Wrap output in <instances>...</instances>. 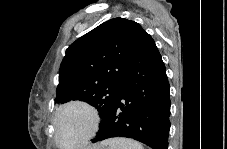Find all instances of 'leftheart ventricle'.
Segmentation results:
<instances>
[{
	"instance_id": "left-heart-ventricle-1",
	"label": "left heart ventricle",
	"mask_w": 227,
	"mask_h": 149,
	"mask_svg": "<svg viewBox=\"0 0 227 149\" xmlns=\"http://www.w3.org/2000/svg\"><path fill=\"white\" fill-rule=\"evenodd\" d=\"M91 118L83 108H70L60 117L58 136L62 144L78 142L90 129Z\"/></svg>"
}]
</instances>
